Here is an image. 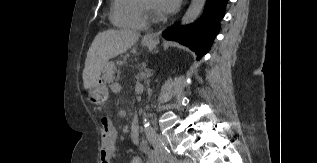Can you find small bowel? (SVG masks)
I'll list each match as a JSON object with an SVG mask.
<instances>
[{
    "mask_svg": "<svg viewBox=\"0 0 317 163\" xmlns=\"http://www.w3.org/2000/svg\"><path fill=\"white\" fill-rule=\"evenodd\" d=\"M101 123V149L99 151V160L100 163H111L117 155L116 129L106 118H103ZM141 147L148 156L146 163H164V160H162L159 154L150 149L147 143H142ZM130 163H143V160L141 157L136 156Z\"/></svg>",
    "mask_w": 317,
    "mask_h": 163,
    "instance_id": "obj_1",
    "label": "small bowel"
}]
</instances>
